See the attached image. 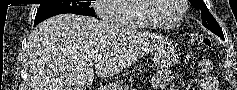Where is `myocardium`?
<instances>
[{
    "mask_svg": "<svg viewBox=\"0 0 237 90\" xmlns=\"http://www.w3.org/2000/svg\"><path fill=\"white\" fill-rule=\"evenodd\" d=\"M151 3H154V0H140V3H138V7L142 9L141 18L145 21L148 27L160 30H173L182 24L186 14V5L184 3H188V0L175 1V3L178 4L180 7V15L176 23L171 25L159 24L151 17L150 11L154 8V5H151Z\"/></svg>",
    "mask_w": 237,
    "mask_h": 90,
    "instance_id": "myocardium-1",
    "label": "myocardium"
}]
</instances>
